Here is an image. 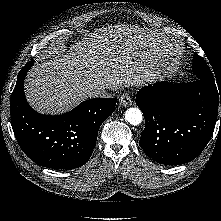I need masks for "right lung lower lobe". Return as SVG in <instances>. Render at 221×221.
Returning <instances> with one entry per match:
<instances>
[{
  "label": "right lung lower lobe",
  "mask_w": 221,
  "mask_h": 221,
  "mask_svg": "<svg viewBox=\"0 0 221 221\" xmlns=\"http://www.w3.org/2000/svg\"><path fill=\"white\" fill-rule=\"evenodd\" d=\"M33 61L19 72L10 99L11 125L18 144L36 164L53 169L84 165L96 146L100 125L113 113L117 98H93L73 110L49 116L25 99L24 79Z\"/></svg>",
  "instance_id": "right-lung-lower-lobe-1"
}]
</instances>
